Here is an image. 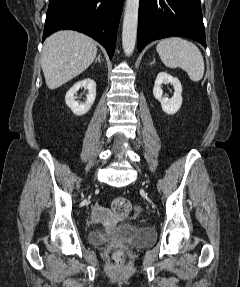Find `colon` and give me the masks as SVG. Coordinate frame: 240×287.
Returning <instances> with one entry per match:
<instances>
[{"mask_svg":"<svg viewBox=\"0 0 240 287\" xmlns=\"http://www.w3.org/2000/svg\"><path fill=\"white\" fill-rule=\"evenodd\" d=\"M112 212L117 217H126L132 211L131 202L124 197L115 198L111 205ZM112 262L116 265L123 263L124 261V253L120 249H114L112 251Z\"/></svg>","mask_w":240,"mask_h":287,"instance_id":"obj_1","label":"colon"}]
</instances>
